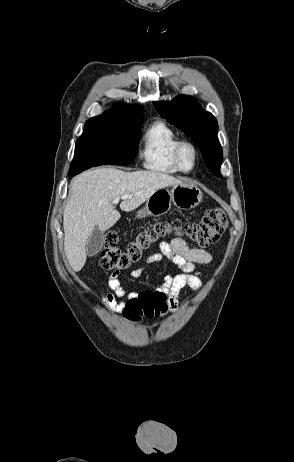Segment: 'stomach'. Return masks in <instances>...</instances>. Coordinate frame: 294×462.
Masks as SVG:
<instances>
[{"mask_svg":"<svg viewBox=\"0 0 294 462\" xmlns=\"http://www.w3.org/2000/svg\"><path fill=\"white\" fill-rule=\"evenodd\" d=\"M202 198L201 190L193 184L180 183L171 189L162 188L148 198L145 207L137 212V218L161 216L171 209L172 204L179 209L190 210L198 206Z\"/></svg>","mask_w":294,"mask_h":462,"instance_id":"0dacf381","label":"stomach"}]
</instances>
